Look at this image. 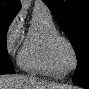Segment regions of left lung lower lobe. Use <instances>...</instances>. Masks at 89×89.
I'll return each instance as SVG.
<instances>
[{
  "instance_id": "1",
  "label": "left lung lower lobe",
  "mask_w": 89,
  "mask_h": 89,
  "mask_svg": "<svg viewBox=\"0 0 89 89\" xmlns=\"http://www.w3.org/2000/svg\"><path fill=\"white\" fill-rule=\"evenodd\" d=\"M76 85H79L81 87H84L86 89H89V81L82 80V81H77L75 82Z\"/></svg>"
}]
</instances>
